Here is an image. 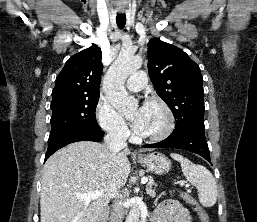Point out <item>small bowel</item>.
<instances>
[{
    "instance_id": "1",
    "label": "small bowel",
    "mask_w": 257,
    "mask_h": 222,
    "mask_svg": "<svg viewBox=\"0 0 257 222\" xmlns=\"http://www.w3.org/2000/svg\"><path fill=\"white\" fill-rule=\"evenodd\" d=\"M154 222H193L187 208L174 200H165L158 207Z\"/></svg>"
}]
</instances>
